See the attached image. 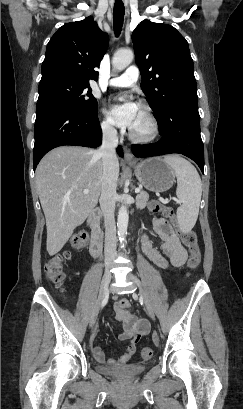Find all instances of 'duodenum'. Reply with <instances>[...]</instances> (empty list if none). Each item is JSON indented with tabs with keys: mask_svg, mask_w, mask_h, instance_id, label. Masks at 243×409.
<instances>
[{
	"mask_svg": "<svg viewBox=\"0 0 243 409\" xmlns=\"http://www.w3.org/2000/svg\"><path fill=\"white\" fill-rule=\"evenodd\" d=\"M101 212L93 209L88 216L87 222L90 225V245L89 251L92 256L98 257L102 251V232L100 229Z\"/></svg>",
	"mask_w": 243,
	"mask_h": 409,
	"instance_id": "410a0bca",
	"label": "duodenum"
}]
</instances>
